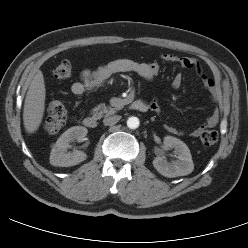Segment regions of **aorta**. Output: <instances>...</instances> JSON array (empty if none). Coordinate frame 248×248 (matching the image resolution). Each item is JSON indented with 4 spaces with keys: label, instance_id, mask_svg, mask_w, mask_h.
Returning a JSON list of instances; mask_svg holds the SVG:
<instances>
[{
    "label": "aorta",
    "instance_id": "aorta-1",
    "mask_svg": "<svg viewBox=\"0 0 248 248\" xmlns=\"http://www.w3.org/2000/svg\"><path fill=\"white\" fill-rule=\"evenodd\" d=\"M140 121L137 117H129L127 120V127L129 129H137L139 127Z\"/></svg>",
    "mask_w": 248,
    "mask_h": 248
}]
</instances>
